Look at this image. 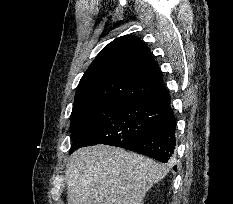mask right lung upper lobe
<instances>
[{"label":"right lung upper lobe","mask_w":233,"mask_h":204,"mask_svg":"<svg viewBox=\"0 0 233 204\" xmlns=\"http://www.w3.org/2000/svg\"><path fill=\"white\" fill-rule=\"evenodd\" d=\"M165 91L159 65L135 36L110 42L95 58L76 90L71 122L112 103L154 98Z\"/></svg>","instance_id":"1"}]
</instances>
